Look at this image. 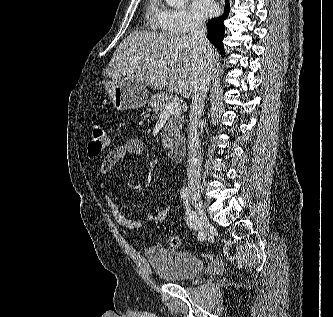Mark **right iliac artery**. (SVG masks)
<instances>
[{"label":"right iliac artery","mask_w":333,"mask_h":317,"mask_svg":"<svg viewBox=\"0 0 333 317\" xmlns=\"http://www.w3.org/2000/svg\"><path fill=\"white\" fill-rule=\"evenodd\" d=\"M189 195H190V190L188 187H183L181 189V197L184 201V205H185V215H186V221L187 224L190 228H193L195 230L198 231V239L200 241L204 240L205 235L199 231V222L197 219V216L195 214L194 211L191 210L190 206H189Z\"/></svg>","instance_id":"obj_1"}]
</instances>
